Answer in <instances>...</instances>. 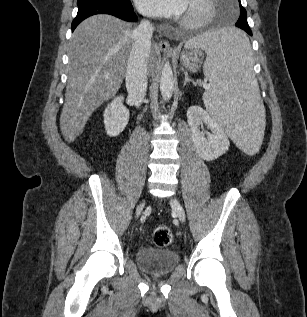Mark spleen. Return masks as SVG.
Returning <instances> with one entry per match:
<instances>
[{
	"label": "spleen",
	"instance_id": "obj_1",
	"mask_svg": "<svg viewBox=\"0 0 307 317\" xmlns=\"http://www.w3.org/2000/svg\"><path fill=\"white\" fill-rule=\"evenodd\" d=\"M185 48H201L207 54L203 71L211 87L203 101L210 116L227 130L241 155H260V129H266V122L246 29H209Z\"/></svg>",
	"mask_w": 307,
	"mask_h": 317
}]
</instances>
